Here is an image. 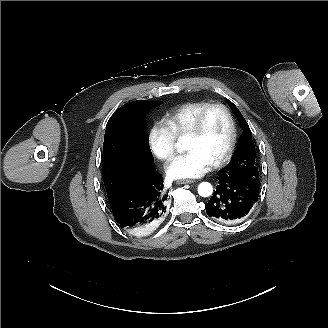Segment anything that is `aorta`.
<instances>
[{"label":"aorta","mask_w":328,"mask_h":328,"mask_svg":"<svg viewBox=\"0 0 328 328\" xmlns=\"http://www.w3.org/2000/svg\"><path fill=\"white\" fill-rule=\"evenodd\" d=\"M178 147L180 149L183 148V145L181 144V142L178 143ZM213 193V187L210 183L208 182H202L199 184L198 186V194L202 197H209L211 196Z\"/></svg>","instance_id":"1"}]
</instances>
